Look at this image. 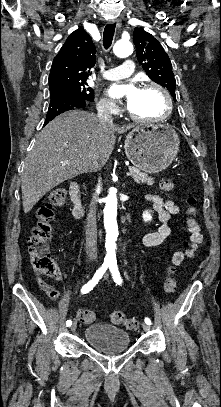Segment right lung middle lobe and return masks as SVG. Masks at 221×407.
Instances as JSON below:
<instances>
[{
	"label": "right lung middle lobe",
	"mask_w": 221,
	"mask_h": 407,
	"mask_svg": "<svg viewBox=\"0 0 221 407\" xmlns=\"http://www.w3.org/2000/svg\"><path fill=\"white\" fill-rule=\"evenodd\" d=\"M51 101L62 98H82L88 101H94V92L88 87L86 82L70 84L64 87L50 90ZM50 101V102H51Z\"/></svg>",
	"instance_id": "dd1d6c3e"
}]
</instances>
